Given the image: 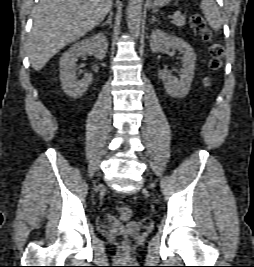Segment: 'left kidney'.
<instances>
[{"mask_svg":"<svg viewBox=\"0 0 254 267\" xmlns=\"http://www.w3.org/2000/svg\"><path fill=\"white\" fill-rule=\"evenodd\" d=\"M150 48L153 53H158L166 48L178 50L183 54L182 69L179 71L180 79H176L171 75V72L164 69L161 72V77L164 83L166 92L174 98L185 97L194 78L196 55L192 47L183 39L173 35H168L160 29H155L151 34Z\"/></svg>","mask_w":254,"mask_h":267,"instance_id":"1","label":"left kidney"}]
</instances>
